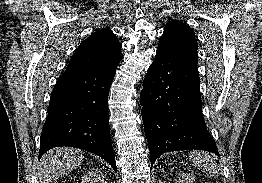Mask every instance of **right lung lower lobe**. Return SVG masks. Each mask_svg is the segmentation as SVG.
<instances>
[{
    "mask_svg": "<svg viewBox=\"0 0 262 183\" xmlns=\"http://www.w3.org/2000/svg\"><path fill=\"white\" fill-rule=\"evenodd\" d=\"M116 68L65 71L56 83L40 139L39 158L70 146L92 152L116 171L108 121V94Z\"/></svg>",
    "mask_w": 262,
    "mask_h": 183,
    "instance_id": "right-lung-lower-lobe-1",
    "label": "right lung lower lobe"
}]
</instances>
